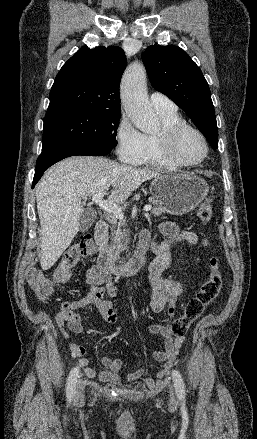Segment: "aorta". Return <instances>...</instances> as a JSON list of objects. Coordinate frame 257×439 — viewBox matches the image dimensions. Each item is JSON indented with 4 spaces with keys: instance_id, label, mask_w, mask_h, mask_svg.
<instances>
[{
    "instance_id": "762f6f07",
    "label": "aorta",
    "mask_w": 257,
    "mask_h": 439,
    "mask_svg": "<svg viewBox=\"0 0 257 439\" xmlns=\"http://www.w3.org/2000/svg\"><path fill=\"white\" fill-rule=\"evenodd\" d=\"M120 95L126 114L138 129L145 133L158 130L159 120L148 100L146 73L142 65L134 64L124 74Z\"/></svg>"
}]
</instances>
